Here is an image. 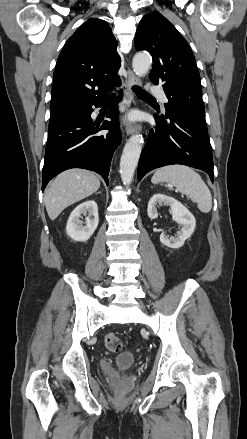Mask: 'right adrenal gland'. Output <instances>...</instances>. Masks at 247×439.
Returning a JSON list of instances; mask_svg holds the SVG:
<instances>
[{
  "instance_id": "1",
  "label": "right adrenal gland",
  "mask_w": 247,
  "mask_h": 439,
  "mask_svg": "<svg viewBox=\"0 0 247 439\" xmlns=\"http://www.w3.org/2000/svg\"><path fill=\"white\" fill-rule=\"evenodd\" d=\"M101 193V191H99L98 193H96V194H100Z\"/></svg>"
}]
</instances>
